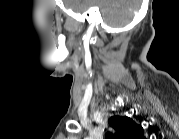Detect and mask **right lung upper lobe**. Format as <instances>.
I'll list each match as a JSON object with an SVG mask.
<instances>
[{
  "instance_id": "obj_1",
  "label": "right lung upper lobe",
  "mask_w": 179,
  "mask_h": 139,
  "mask_svg": "<svg viewBox=\"0 0 179 139\" xmlns=\"http://www.w3.org/2000/svg\"><path fill=\"white\" fill-rule=\"evenodd\" d=\"M110 125L116 130L114 135L107 133V139H143V129L128 117L113 116Z\"/></svg>"
}]
</instances>
